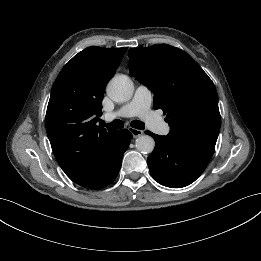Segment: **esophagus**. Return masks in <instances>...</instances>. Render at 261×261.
Wrapping results in <instances>:
<instances>
[{
	"mask_svg": "<svg viewBox=\"0 0 261 261\" xmlns=\"http://www.w3.org/2000/svg\"><path fill=\"white\" fill-rule=\"evenodd\" d=\"M130 132L133 135L134 138H137L141 135H143L144 131L140 129L130 128Z\"/></svg>",
	"mask_w": 261,
	"mask_h": 261,
	"instance_id": "34e87169",
	"label": "esophagus"
}]
</instances>
